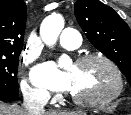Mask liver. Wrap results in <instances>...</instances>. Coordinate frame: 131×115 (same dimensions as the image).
Listing matches in <instances>:
<instances>
[{
	"label": "liver",
	"instance_id": "liver-1",
	"mask_svg": "<svg viewBox=\"0 0 131 115\" xmlns=\"http://www.w3.org/2000/svg\"><path fill=\"white\" fill-rule=\"evenodd\" d=\"M0 115H30L28 112H26L23 108L12 105L7 106L5 104L0 103ZM42 115H75L72 112H58V111H50Z\"/></svg>",
	"mask_w": 131,
	"mask_h": 115
}]
</instances>
